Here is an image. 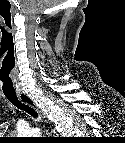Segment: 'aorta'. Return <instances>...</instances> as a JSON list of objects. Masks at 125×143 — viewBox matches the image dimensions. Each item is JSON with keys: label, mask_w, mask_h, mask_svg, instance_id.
<instances>
[{"label": "aorta", "mask_w": 125, "mask_h": 143, "mask_svg": "<svg viewBox=\"0 0 125 143\" xmlns=\"http://www.w3.org/2000/svg\"><path fill=\"white\" fill-rule=\"evenodd\" d=\"M33 134H38L39 133V131L37 130V129H35V130H33V132H32Z\"/></svg>", "instance_id": "1"}]
</instances>
